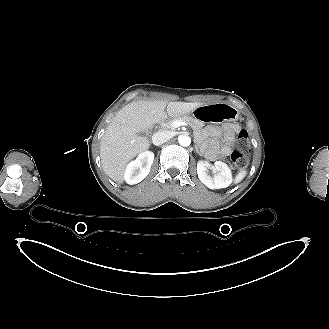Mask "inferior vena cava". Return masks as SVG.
Listing matches in <instances>:
<instances>
[{
    "label": "inferior vena cava",
    "instance_id": "inferior-vena-cava-1",
    "mask_svg": "<svg viewBox=\"0 0 329 329\" xmlns=\"http://www.w3.org/2000/svg\"><path fill=\"white\" fill-rule=\"evenodd\" d=\"M171 137L172 135L168 131H158L152 136V142L154 145L160 146L170 140Z\"/></svg>",
    "mask_w": 329,
    "mask_h": 329
}]
</instances>
